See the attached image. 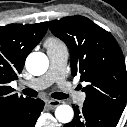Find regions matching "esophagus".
<instances>
[{
  "mask_svg": "<svg viewBox=\"0 0 127 127\" xmlns=\"http://www.w3.org/2000/svg\"><path fill=\"white\" fill-rule=\"evenodd\" d=\"M60 104V101L58 100H48L46 102V105L49 109L53 110Z\"/></svg>",
  "mask_w": 127,
  "mask_h": 127,
  "instance_id": "1",
  "label": "esophagus"
}]
</instances>
